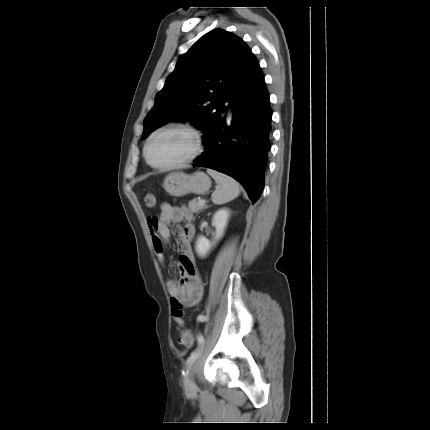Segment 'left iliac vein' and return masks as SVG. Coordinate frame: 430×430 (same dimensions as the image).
Listing matches in <instances>:
<instances>
[{
  "label": "left iliac vein",
  "instance_id": "1",
  "mask_svg": "<svg viewBox=\"0 0 430 430\" xmlns=\"http://www.w3.org/2000/svg\"><path fill=\"white\" fill-rule=\"evenodd\" d=\"M195 367H196V364L193 362L192 364H190L188 371H187L186 388L188 390H195L196 389V384H195L194 378H193Z\"/></svg>",
  "mask_w": 430,
  "mask_h": 430
}]
</instances>
